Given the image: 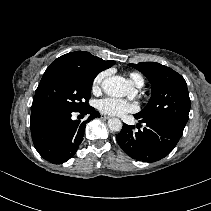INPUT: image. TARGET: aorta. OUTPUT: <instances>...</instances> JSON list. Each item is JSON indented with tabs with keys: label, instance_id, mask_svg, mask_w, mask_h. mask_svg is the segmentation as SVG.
I'll return each instance as SVG.
<instances>
[{
	"label": "aorta",
	"instance_id": "762f6f07",
	"mask_svg": "<svg viewBox=\"0 0 211 211\" xmlns=\"http://www.w3.org/2000/svg\"><path fill=\"white\" fill-rule=\"evenodd\" d=\"M131 84L128 80L120 76H111L102 82L103 91L111 97L125 96ZM108 127L112 131H120L122 129V122L118 118H112L108 120Z\"/></svg>",
	"mask_w": 211,
	"mask_h": 211
}]
</instances>
